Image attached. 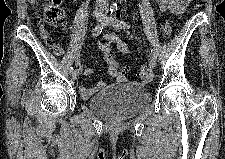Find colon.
Segmentation results:
<instances>
[{
  "label": "colon",
  "mask_w": 225,
  "mask_h": 159,
  "mask_svg": "<svg viewBox=\"0 0 225 159\" xmlns=\"http://www.w3.org/2000/svg\"><path fill=\"white\" fill-rule=\"evenodd\" d=\"M66 13L61 0H50L44 10V21L52 27H62L65 23ZM162 31L165 36H170L172 27L169 23H164ZM103 57L108 62L113 73H121L122 68L114 61L113 54L110 47L102 49ZM139 77L143 81H150L152 78L150 69L144 66L139 71Z\"/></svg>",
  "instance_id": "obj_1"
}]
</instances>
